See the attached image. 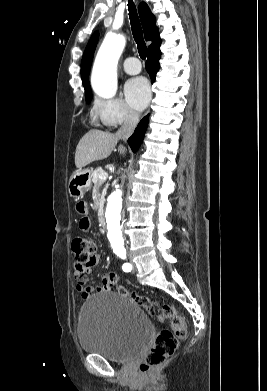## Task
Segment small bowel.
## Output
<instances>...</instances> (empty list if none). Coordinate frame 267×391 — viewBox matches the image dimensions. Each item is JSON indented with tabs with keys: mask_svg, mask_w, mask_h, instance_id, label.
<instances>
[{
	"mask_svg": "<svg viewBox=\"0 0 267 391\" xmlns=\"http://www.w3.org/2000/svg\"><path fill=\"white\" fill-rule=\"evenodd\" d=\"M76 211L81 215V219L79 222V228L86 232L90 229L91 221L88 217V207L87 204L83 201H80L76 205ZM98 259L96 257V263L91 266H80L78 264L75 265L74 277L76 281V289L80 293L83 299L89 298L95 291L103 292L109 288L107 283V275H103L102 283L97 287H92L87 285L88 275L92 273L94 270Z\"/></svg>",
	"mask_w": 267,
	"mask_h": 391,
	"instance_id": "obj_1",
	"label": "small bowel"
}]
</instances>
